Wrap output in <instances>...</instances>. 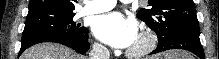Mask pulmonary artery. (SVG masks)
Wrapping results in <instances>:
<instances>
[{
	"label": "pulmonary artery",
	"instance_id": "e3ab8cb5",
	"mask_svg": "<svg viewBox=\"0 0 219 59\" xmlns=\"http://www.w3.org/2000/svg\"><path fill=\"white\" fill-rule=\"evenodd\" d=\"M114 0H92L82 8L83 14H96L111 10L115 6Z\"/></svg>",
	"mask_w": 219,
	"mask_h": 59
}]
</instances>
